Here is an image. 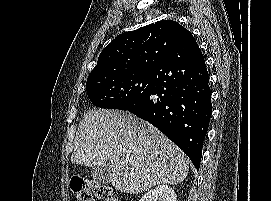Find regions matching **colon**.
Masks as SVG:
<instances>
[{"label": "colon", "instance_id": "5ec220e1", "mask_svg": "<svg viewBox=\"0 0 271 201\" xmlns=\"http://www.w3.org/2000/svg\"><path fill=\"white\" fill-rule=\"evenodd\" d=\"M71 189L78 201H94V196L101 201H120L110 186L90 178L73 179Z\"/></svg>", "mask_w": 271, "mask_h": 201}]
</instances>
